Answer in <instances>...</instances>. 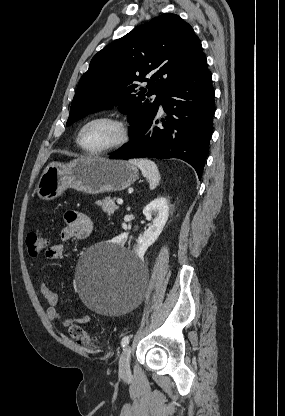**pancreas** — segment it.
I'll return each instance as SVG.
<instances>
[{
	"label": "pancreas",
	"mask_w": 285,
	"mask_h": 416,
	"mask_svg": "<svg viewBox=\"0 0 285 416\" xmlns=\"http://www.w3.org/2000/svg\"><path fill=\"white\" fill-rule=\"evenodd\" d=\"M95 204H97V206H101L103 212H106L108 216H112L115 210H118V206H116L114 200H111L110 196L105 198V200H97Z\"/></svg>",
	"instance_id": "pancreas-1"
}]
</instances>
